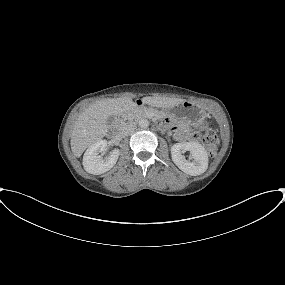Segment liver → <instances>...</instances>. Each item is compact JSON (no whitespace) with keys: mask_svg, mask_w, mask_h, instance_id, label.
Here are the masks:
<instances>
[{"mask_svg":"<svg viewBox=\"0 0 285 285\" xmlns=\"http://www.w3.org/2000/svg\"><path fill=\"white\" fill-rule=\"evenodd\" d=\"M181 98L144 97L142 102L153 107L169 109L184 102ZM135 106L131 97L107 98L91 104L77 118L71 133V150L80 157L85 149L108 132L110 116L129 112Z\"/></svg>","mask_w":285,"mask_h":285,"instance_id":"6515ba94","label":"liver"}]
</instances>
